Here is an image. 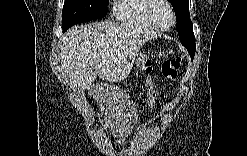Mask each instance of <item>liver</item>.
<instances>
[{
  "mask_svg": "<svg viewBox=\"0 0 247 156\" xmlns=\"http://www.w3.org/2000/svg\"><path fill=\"white\" fill-rule=\"evenodd\" d=\"M155 31L128 23L102 22L69 29L61 41V67L72 88H89L96 77L123 81L141 47Z\"/></svg>",
  "mask_w": 247,
  "mask_h": 156,
  "instance_id": "1",
  "label": "liver"
}]
</instances>
